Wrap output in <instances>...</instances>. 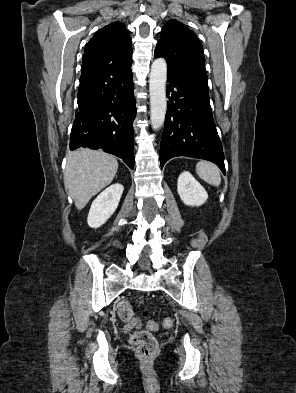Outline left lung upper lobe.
<instances>
[{
    "mask_svg": "<svg viewBox=\"0 0 296 393\" xmlns=\"http://www.w3.org/2000/svg\"><path fill=\"white\" fill-rule=\"evenodd\" d=\"M154 55L166 59L168 71L207 77L202 45L197 36L179 21L169 20L164 25Z\"/></svg>",
    "mask_w": 296,
    "mask_h": 393,
    "instance_id": "left-lung-upper-lobe-1",
    "label": "left lung upper lobe"
}]
</instances>
